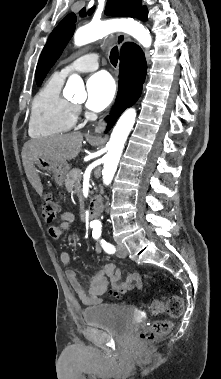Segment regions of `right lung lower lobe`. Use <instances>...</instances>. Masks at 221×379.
<instances>
[{"instance_id": "1", "label": "right lung lower lobe", "mask_w": 221, "mask_h": 379, "mask_svg": "<svg viewBox=\"0 0 221 379\" xmlns=\"http://www.w3.org/2000/svg\"><path fill=\"white\" fill-rule=\"evenodd\" d=\"M147 64L143 51L134 43H126L120 53L119 90L115 106L108 119L109 130L115 120L140 97Z\"/></svg>"}]
</instances>
